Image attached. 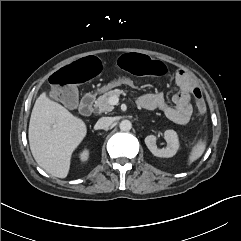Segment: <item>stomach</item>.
Listing matches in <instances>:
<instances>
[{"label": "stomach", "instance_id": "stomach-1", "mask_svg": "<svg viewBox=\"0 0 241 241\" xmlns=\"http://www.w3.org/2000/svg\"><path fill=\"white\" fill-rule=\"evenodd\" d=\"M120 85H129L132 86L133 82L129 77L126 76H122V77H118L114 80H112L110 83H108L107 85H105L102 90H107V89H111Z\"/></svg>", "mask_w": 241, "mask_h": 241}]
</instances>
